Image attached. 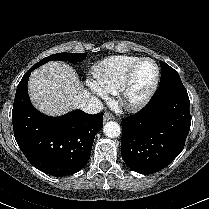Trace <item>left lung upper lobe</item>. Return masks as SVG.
<instances>
[{
	"label": "left lung upper lobe",
	"instance_id": "1",
	"mask_svg": "<svg viewBox=\"0 0 209 209\" xmlns=\"http://www.w3.org/2000/svg\"><path fill=\"white\" fill-rule=\"evenodd\" d=\"M162 75L160 78V86L174 83V82H182L179 74L168 64L163 61H160Z\"/></svg>",
	"mask_w": 209,
	"mask_h": 209
}]
</instances>
